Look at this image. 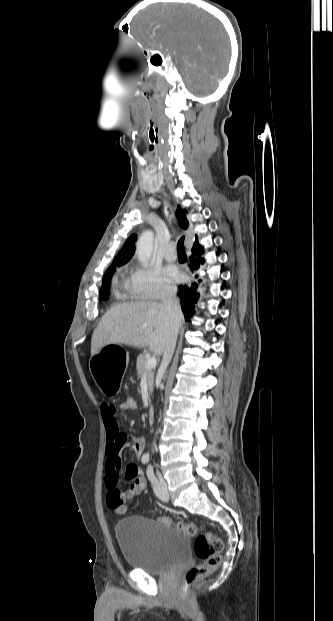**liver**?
I'll use <instances>...</instances> for the list:
<instances>
[{"label":"liver","mask_w":333,"mask_h":621,"mask_svg":"<svg viewBox=\"0 0 333 621\" xmlns=\"http://www.w3.org/2000/svg\"><path fill=\"white\" fill-rule=\"evenodd\" d=\"M180 325L183 315H179ZM170 320L162 303L131 302L112 307L101 318L91 339V355L109 344L135 348L149 347L157 355L164 352Z\"/></svg>","instance_id":"1"}]
</instances>
